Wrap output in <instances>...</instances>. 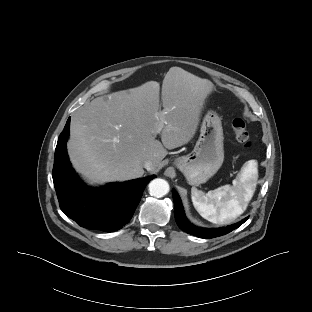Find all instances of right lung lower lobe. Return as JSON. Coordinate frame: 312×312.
Listing matches in <instances>:
<instances>
[{"label":"right lung lower lobe","mask_w":312,"mask_h":312,"mask_svg":"<svg viewBox=\"0 0 312 312\" xmlns=\"http://www.w3.org/2000/svg\"><path fill=\"white\" fill-rule=\"evenodd\" d=\"M70 118L59 136L53 168V182L64 214L80 226L106 232L121 229L132 218L146 185L155 176L101 189L85 186L74 173L66 151Z\"/></svg>","instance_id":"98d812e1"}]
</instances>
